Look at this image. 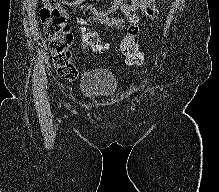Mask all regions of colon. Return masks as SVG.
I'll return each mask as SVG.
<instances>
[{
    "label": "colon",
    "mask_w": 219,
    "mask_h": 192,
    "mask_svg": "<svg viewBox=\"0 0 219 192\" xmlns=\"http://www.w3.org/2000/svg\"><path fill=\"white\" fill-rule=\"evenodd\" d=\"M40 19L45 36L49 41L52 61L57 74L64 80H74L78 75V70L72 61L70 51L72 34L69 26L61 17L58 9L47 3L40 10ZM92 45L95 52L107 50V46L102 42L93 41ZM120 51L129 64H140L143 60L137 34H127L120 43Z\"/></svg>",
    "instance_id": "obj_1"
}]
</instances>
